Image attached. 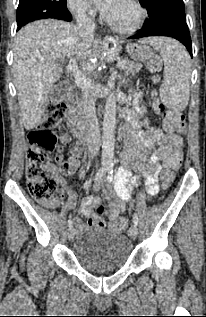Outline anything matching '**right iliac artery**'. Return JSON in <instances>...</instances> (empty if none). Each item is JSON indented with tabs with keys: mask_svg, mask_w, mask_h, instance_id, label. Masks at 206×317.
I'll use <instances>...</instances> for the list:
<instances>
[{
	"mask_svg": "<svg viewBox=\"0 0 206 317\" xmlns=\"http://www.w3.org/2000/svg\"><path fill=\"white\" fill-rule=\"evenodd\" d=\"M106 172H107V169H105V168H101L99 171H98V173L95 175V180H99V179H101L105 174H106ZM73 225V221L70 219L69 221H68V226L69 227H71Z\"/></svg>",
	"mask_w": 206,
	"mask_h": 317,
	"instance_id": "obj_1",
	"label": "right iliac artery"
}]
</instances>
